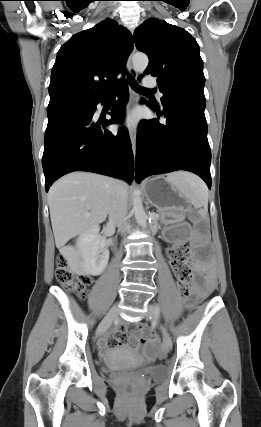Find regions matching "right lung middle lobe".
I'll use <instances>...</instances> for the list:
<instances>
[{
  "instance_id": "right-lung-middle-lobe-1",
  "label": "right lung middle lobe",
  "mask_w": 261,
  "mask_h": 427,
  "mask_svg": "<svg viewBox=\"0 0 261 427\" xmlns=\"http://www.w3.org/2000/svg\"><path fill=\"white\" fill-rule=\"evenodd\" d=\"M92 107L93 106H80V105L66 106V107L56 108L52 110H47V115L48 117H51L53 115L63 114L67 112L89 111L92 109Z\"/></svg>"
}]
</instances>
